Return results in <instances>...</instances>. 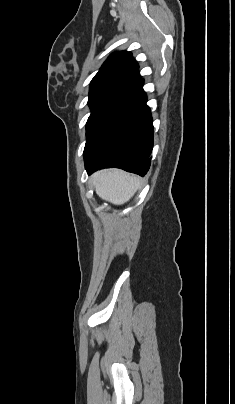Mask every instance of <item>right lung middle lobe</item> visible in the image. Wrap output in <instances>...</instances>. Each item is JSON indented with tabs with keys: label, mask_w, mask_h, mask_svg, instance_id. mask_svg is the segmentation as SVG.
<instances>
[{
	"label": "right lung middle lobe",
	"mask_w": 235,
	"mask_h": 404,
	"mask_svg": "<svg viewBox=\"0 0 235 404\" xmlns=\"http://www.w3.org/2000/svg\"><path fill=\"white\" fill-rule=\"evenodd\" d=\"M129 85L104 84L90 87L88 104L91 115L86 124L87 137L106 113L121 99Z\"/></svg>",
	"instance_id": "right-lung-middle-lobe-1"
}]
</instances>
